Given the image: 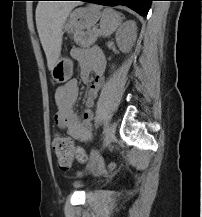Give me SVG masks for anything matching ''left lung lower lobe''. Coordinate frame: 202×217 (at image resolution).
Returning <instances> with one entry per match:
<instances>
[{
    "label": "left lung lower lobe",
    "instance_id": "left-lung-lower-lobe-1",
    "mask_svg": "<svg viewBox=\"0 0 202 217\" xmlns=\"http://www.w3.org/2000/svg\"><path fill=\"white\" fill-rule=\"evenodd\" d=\"M89 3L101 4L105 6L124 5L140 15H147L153 0H79Z\"/></svg>",
    "mask_w": 202,
    "mask_h": 217
}]
</instances>
